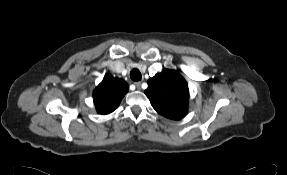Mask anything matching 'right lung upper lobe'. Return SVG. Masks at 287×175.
<instances>
[{
	"instance_id": "obj_1",
	"label": "right lung upper lobe",
	"mask_w": 287,
	"mask_h": 175,
	"mask_svg": "<svg viewBox=\"0 0 287 175\" xmlns=\"http://www.w3.org/2000/svg\"><path fill=\"white\" fill-rule=\"evenodd\" d=\"M127 91L128 84L123 79L106 74L93 93L97 112L102 115L113 112L118 108Z\"/></svg>"
}]
</instances>
